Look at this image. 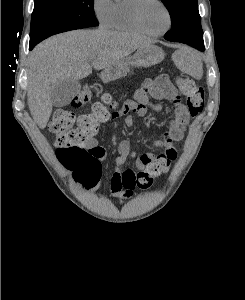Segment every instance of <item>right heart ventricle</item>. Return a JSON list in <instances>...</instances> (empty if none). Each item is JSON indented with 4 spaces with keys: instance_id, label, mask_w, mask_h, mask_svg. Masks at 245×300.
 Returning a JSON list of instances; mask_svg holds the SVG:
<instances>
[{
    "instance_id": "right-heart-ventricle-1",
    "label": "right heart ventricle",
    "mask_w": 245,
    "mask_h": 300,
    "mask_svg": "<svg viewBox=\"0 0 245 300\" xmlns=\"http://www.w3.org/2000/svg\"><path fill=\"white\" fill-rule=\"evenodd\" d=\"M133 4L134 0H115L109 26L122 32L144 34L133 21Z\"/></svg>"
}]
</instances>
